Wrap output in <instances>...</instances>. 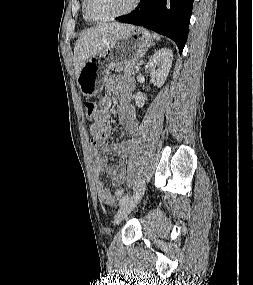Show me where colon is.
<instances>
[{"mask_svg":"<svg viewBox=\"0 0 253 285\" xmlns=\"http://www.w3.org/2000/svg\"><path fill=\"white\" fill-rule=\"evenodd\" d=\"M85 111H86V116L88 119H93L95 117V112H96V105L93 102H86L85 103ZM123 189L118 188L117 193L119 195L123 194Z\"/></svg>","mask_w":253,"mask_h":285,"instance_id":"obj_1","label":"colon"}]
</instances>
